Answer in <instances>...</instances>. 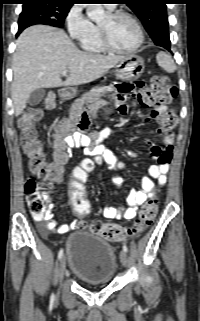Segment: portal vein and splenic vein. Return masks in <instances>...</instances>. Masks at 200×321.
<instances>
[{"label":"portal vein and splenic vein","mask_w":200,"mask_h":321,"mask_svg":"<svg viewBox=\"0 0 200 321\" xmlns=\"http://www.w3.org/2000/svg\"><path fill=\"white\" fill-rule=\"evenodd\" d=\"M62 75H64V76L67 75V71H63Z\"/></svg>","instance_id":"1"}]
</instances>
